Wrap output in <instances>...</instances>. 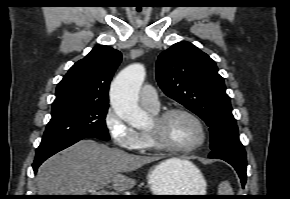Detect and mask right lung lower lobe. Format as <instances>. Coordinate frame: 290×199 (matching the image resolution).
Listing matches in <instances>:
<instances>
[{"label": "right lung lower lobe", "instance_id": "98d812e1", "mask_svg": "<svg viewBox=\"0 0 290 199\" xmlns=\"http://www.w3.org/2000/svg\"><path fill=\"white\" fill-rule=\"evenodd\" d=\"M74 141V142H69V143H62V144H58V145H53V146H48V147H43V148H38L37 152H36V156H35V160L33 163V169L34 172L37 171L38 167L42 164V162H44L47 158H49L50 156L54 155L55 153L71 146L72 144L78 142Z\"/></svg>", "mask_w": 290, "mask_h": 199}]
</instances>
